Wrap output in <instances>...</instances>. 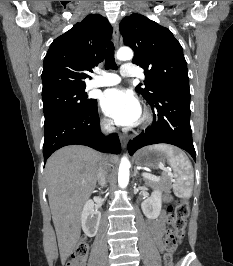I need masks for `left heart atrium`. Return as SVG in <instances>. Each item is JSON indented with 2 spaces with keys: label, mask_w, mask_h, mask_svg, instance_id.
Segmentation results:
<instances>
[{
  "label": "left heart atrium",
  "mask_w": 233,
  "mask_h": 266,
  "mask_svg": "<svg viewBox=\"0 0 233 266\" xmlns=\"http://www.w3.org/2000/svg\"><path fill=\"white\" fill-rule=\"evenodd\" d=\"M104 113L117 124L133 126L141 118V106L136 96L128 90L114 88L106 90L101 97Z\"/></svg>",
  "instance_id": "1"
}]
</instances>
